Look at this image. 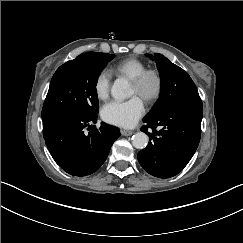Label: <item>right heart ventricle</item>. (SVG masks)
I'll return each instance as SVG.
<instances>
[{
  "label": "right heart ventricle",
  "mask_w": 243,
  "mask_h": 243,
  "mask_svg": "<svg viewBox=\"0 0 243 243\" xmlns=\"http://www.w3.org/2000/svg\"><path fill=\"white\" fill-rule=\"evenodd\" d=\"M146 67V63L140 59L127 58L114 65L111 69L114 73L125 76L132 80L137 77Z\"/></svg>",
  "instance_id": "e07e8e85"
}]
</instances>
